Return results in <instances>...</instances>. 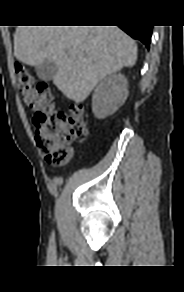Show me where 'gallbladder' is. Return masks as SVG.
<instances>
[{
    "label": "gallbladder",
    "mask_w": 184,
    "mask_h": 292,
    "mask_svg": "<svg viewBox=\"0 0 184 292\" xmlns=\"http://www.w3.org/2000/svg\"><path fill=\"white\" fill-rule=\"evenodd\" d=\"M35 71L39 79L43 81H50L56 75L58 67L53 61H45L36 66Z\"/></svg>",
    "instance_id": "obj_1"
}]
</instances>
